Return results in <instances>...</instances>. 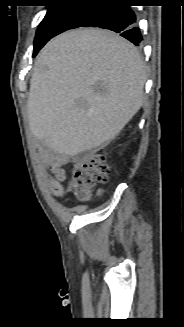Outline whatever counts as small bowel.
<instances>
[{
  "label": "small bowel",
  "mask_w": 184,
  "mask_h": 327,
  "mask_svg": "<svg viewBox=\"0 0 184 327\" xmlns=\"http://www.w3.org/2000/svg\"><path fill=\"white\" fill-rule=\"evenodd\" d=\"M43 163H45L52 175H47V179L51 184V194L55 197H62L65 193L63 183L67 179L64 166L71 163V159L67 155H57L51 151L43 150L40 153Z\"/></svg>",
  "instance_id": "1"
}]
</instances>
